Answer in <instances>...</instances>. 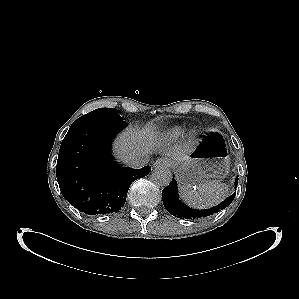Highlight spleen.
Returning <instances> with one entry per match:
<instances>
[{"instance_id":"1","label":"spleen","mask_w":299,"mask_h":299,"mask_svg":"<svg viewBox=\"0 0 299 299\" xmlns=\"http://www.w3.org/2000/svg\"><path fill=\"white\" fill-rule=\"evenodd\" d=\"M228 186L219 181H209L200 186L182 185L181 197L194 208H208L219 204L228 196Z\"/></svg>"}]
</instances>
